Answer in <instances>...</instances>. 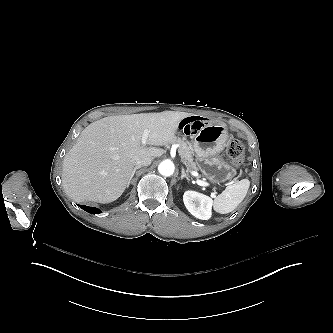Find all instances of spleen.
<instances>
[{
	"label": "spleen",
	"instance_id": "obj_1",
	"mask_svg": "<svg viewBox=\"0 0 333 333\" xmlns=\"http://www.w3.org/2000/svg\"><path fill=\"white\" fill-rule=\"evenodd\" d=\"M250 182L242 179L235 184L228 185L213 199V210L219 214L233 211L246 197Z\"/></svg>",
	"mask_w": 333,
	"mask_h": 333
}]
</instances>
